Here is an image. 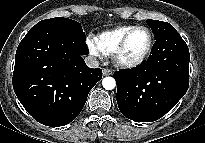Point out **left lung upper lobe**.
Returning <instances> with one entry per match:
<instances>
[{
  "label": "left lung upper lobe",
  "instance_id": "1",
  "mask_svg": "<svg viewBox=\"0 0 205 143\" xmlns=\"http://www.w3.org/2000/svg\"><path fill=\"white\" fill-rule=\"evenodd\" d=\"M147 23L152 29L155 40L165 36L166 34L176 31V29L167 22H162L158 20H147Z\"/></svg>",
  "mask_w": 205,
  "mask_h": 143
}]
</instances>
